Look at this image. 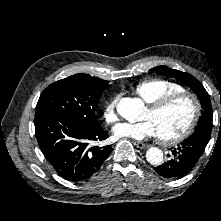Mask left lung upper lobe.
I'll return each mask as SVG.
<instances>
[{
    "mask_svg": "<svg viewBox=\"0 0 221 221\" xmlns=\"http://www.w3.org/2000/svg\"><path fill=\"white\" fill-rule=\"evenodd\" d=\"M152 73H158L164 76L176 78L188 87H190L198 96L202 103V116L200 117L194 133L210 132L212 130V105L210 96L203 85L192 75L171 69L167 66H157L150 69Z\"/></svg>",
    "mask_w": 221,
    "mask_h": 221,
    "instance_id": "obj_1",
    "label": "left lung upper lobe"
}]
</instances>
